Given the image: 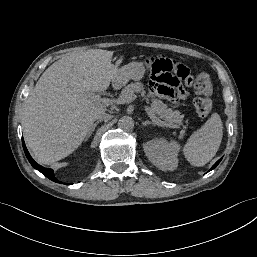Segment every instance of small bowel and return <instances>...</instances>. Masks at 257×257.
<instances>
[{
	"mask_svg": "<svg viewBox=\"0 0 257 257\" xmlns=\"http://www.w3.org/2000/svg\"><path fill=\"white\" fill-rule=\"evenodd\" d=\"M143 69L149 74L146 88L152 100L165 97L171 102L186 100V87L193 82L191 68L182 60L170 58L167 54L148 55L143 62ZM163 94V95H162Z\"/></svg>",
	"mask_w": 257,
	"mask_h": 257,
	"instance_id": "c3829d8e",
	"label": "small bowel"
}]
</instances>
